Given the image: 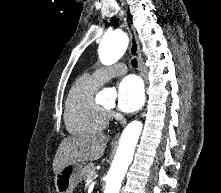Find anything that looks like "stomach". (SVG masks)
<instances>
[{
	"label": "stomach",
	"instance_id": "0dacf381",
	"mask_svg": "<svg viewBox=\"0 0 221 193\" xmlns=\"http://www.w3.org/2000/svg\"><path fill=\"white\" fill-rule=\"evenodd\" d=\"M83 178V166L79 163L66 165L55 174V188L58 193H72Z\"/></svg>",
	"mask_w": 221,
	"mask_h": 193
}]
</instances>
